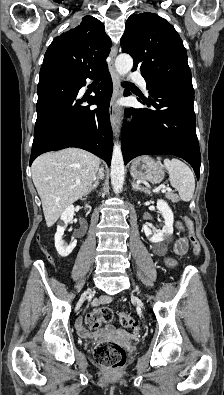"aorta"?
I'll return each mask as SVG.
<instances>
[{"label": "aorta", "mask_w": 224, "mask_h": 395, "mask_svg": "<svg viewBox=\"0 0 224 395\" xmlns=\"http://www.w3.org/2000/svg\"><path fill=\"white\" fill-rule=\"evenodd\" d=\"M116 71L119 76H125L133 67V59L129 54H120L115 61ZM111 184L113 191L119 193L123 188L124 182V160L121 145L114 143L111 161Z\"/></svg>", "instance_id": "1"}]
</instances>
